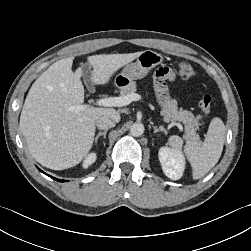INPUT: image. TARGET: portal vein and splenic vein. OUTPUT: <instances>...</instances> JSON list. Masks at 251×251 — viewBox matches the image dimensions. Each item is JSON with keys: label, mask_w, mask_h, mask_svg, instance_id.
Instances as JSON below:
<instances>
[{"label": "portal vein and splenic vein", "mask_w": 251, "mask_h": 251, "mask_svg": "<svg viewBox=\"0 0 251 251\" xmlns=\"http://www.w3.org/2000/svg\"><path fill=\"white\" fill-rule=\"evenodd\" d=\"M141 99V96L137 93L128 94L120 97H108L101 98L96 101V105L103 107H121L129 105L132 101H138ZM87 105H79L74 107V110L79 111L83 110Z\"/></svg>", "instance_id": "18ae733b"}]
</instances>
